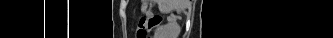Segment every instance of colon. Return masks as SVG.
I'll return each instance as SVG.
<instances>
[{
  "label": "colon",
  "mask_w": 333,
  "mask_h": 38,
  "mask_svg": "<svg viewBox=\"0 0 333 38\" xmlns=\"http://www.w3.org/2000/svg\"><path fill=\"white\" fill-rule=\"evenodd\" d=\"M162 22L161 16L143 17L136 29V38H149V32Z\"/></svg>",
  "instance_id": "obj_1"
}]
</instances>
